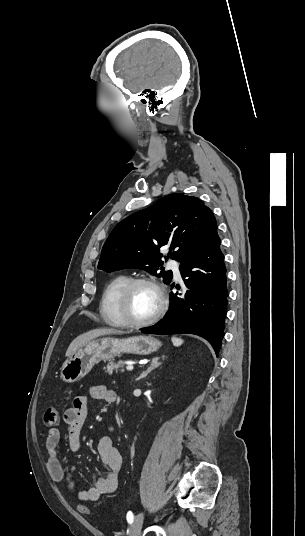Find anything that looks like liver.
Masks as SVG:
<instances>
[{
  "mask_svg": "<svg viewBox=\"0 0 305 536\" xmlns=\"http://www.w3.org/2000/svg\"><path fill=\"white\" fill-rule=\"evenodd\" d=\"M106 334H129V332H120V330H106V328H101V330H91V332H86V334H81V336H78V338H75L73 342H71L65 356H72V354H75L79 348H82V346H86L90 340H94V338H99V336H106Z\"/></svg>",
  "mask_w": 305,
  "mask_h": 536,
  "instance_id": "6515ba94",
  "label": "liver"
}]
</instances>
